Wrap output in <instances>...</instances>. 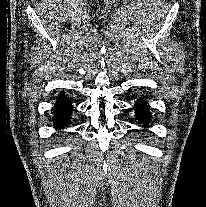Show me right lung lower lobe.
<instances>
[{"label": "right lung lower lobe", "instance_id": "obj_1", "mask_svg": "<svg viewBox=\"0 0 206 207\" xmlns=\"http://www.w3.org/2000/svg\"><path fill=\"white\" fill-rule=\"evenodd\" d=\"M54 126L58 129L70 124V114L72 112V105L69 99L64 95L60 94L54 107Z\"/></svg>", "mask_w": 206, "mask_h": 207}]
</instances>
